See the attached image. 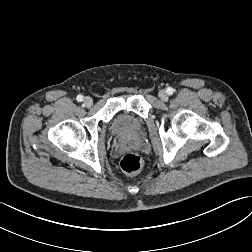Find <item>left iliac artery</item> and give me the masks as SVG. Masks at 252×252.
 Segmentation results:
<instances>
[{
	"mask_svg": "<svg viewBox=\"0 0 252 252\" xmlns=\"http://www.w3.org/2000/svg\"><path fill=\"white\" fill-rule=\"evenodd\" d=\"M166 91H167V93L169 95L173 94V88L172 87H168Z\"/></svg>",
	"mask_w": 252,
	"mask_h": 252,
	"instance_id": "obj_1",
	"label": "left iliac artery"
}]
</instances>
